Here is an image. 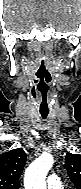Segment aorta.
I'll list each match as a JSON object with an SVG mask.
<instances>
[{"label":"aorta","instance_id":"obj_1","mask_svg":"<svg viewBox=\"0 0 81 189\" xmlns=\"http://www.w3.org/2000/svg\"><path fill=\"white\" fill-rule=\"evenodd\" d=\"M54 163L49 154H42L27 168L24 177L25 189H47L45 178Z\"/></svg>","mask_w":81,"mask_h":189}]
</instances>
